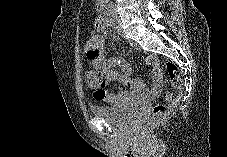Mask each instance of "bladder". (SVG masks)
Masks as SVG:
<instances>
[{
    "label": "bladder",
    "instance_id": "1",
    "mask_svg": "<svg viewBox=\"0 0 227 157\" xmlns=\"http://www.w3.org/2000/svg\"><path fill=\"white\" fill-rule=\"evenodd\" d=\"M91 113L117 126H127L143 114V107L138 104H126L116 107L93 106Z\"/></svg>",
    "mask_w": 227,
    "mask_h": 157
}]
</instances>
